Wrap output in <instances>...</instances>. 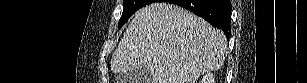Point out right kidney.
Returning <instances> with one entry per match:
<instances>
[{
  "label": "right kidney",
  "instance_id": "ca27d5eb",
  "mask_svg": "<svg viewBox=\"0 0 307 83\" xmlns=\"http://www.w3.org/2000/svg\"><path fill=\"white\" fill-rule=\"evenodd\" d=\"M201 83H215L213 74L208 72L205 76H203Z\"/></svg>",
  "mask_w": 307,
  "mask_h": 83
}]
</instances>
